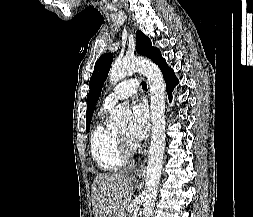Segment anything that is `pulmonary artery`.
Segmentation results:
<instances>
[{"mask_svg":"<svg viewBox=\"0 0 253 217\" xmlns=\"http://www.w3.org/2000/svg\"><path fill=\"white\" fill-rule=\"evenodd\" d=\"M138 81L128 79L115 86L105 97L103 107L111 108L118 101L133 96L137 92Z\"/></svg>","mask_w":253,"mask_h":217,"instance_id":"e3ab8cb5","label":"pulmonary artery"}]
</instances>
